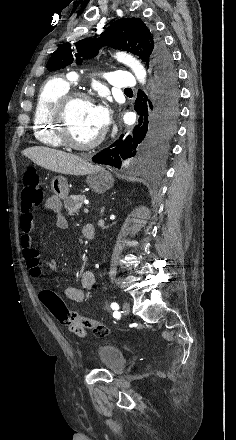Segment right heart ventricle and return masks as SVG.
Wrapping results in <instances>:
<instances>
[{
  "label": "right heart ventricle",
  "mask_w": 236,
  "mask_h": 440,
  "mask_svg": "<svg viewBox=\"0 0 236 440\" xmlns=\"http://www.w3.org/2000/svg\"><path fill=\"white\" fill-rule=\"evenodd\" d=\"M70 90V82L63 76L48 79L41 87L33 113V132L35 139L46 146L61 148L51 118L52 107L56 100Z\"/></svg>",
  "instance_id": "right-heart-ventricle-1"
}]
</instances>
